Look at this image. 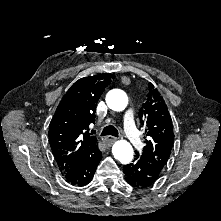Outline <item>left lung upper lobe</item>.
Masks as SVG:
<instances>
[{"instance_id":"left-lung-upper-lobe-1","label":"left lung upper lobe","mask_w":221,"mask_h":221,"mask_svg":"<svg viewBox=\"0 0 221 221\" xmlns=\"http://www.w3.org/2000/svg\"><path fill=\"white\" fill-rule=\"evenodd\" d=\"M139 119L146 128L148 140L142 153L136 152V155L162 171L171 153L174 133L167 105L151 83L146 101L139 111Z\"/></svg>"}]
</instances>
